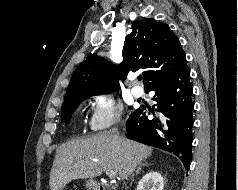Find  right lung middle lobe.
<instances>
[{
    "label": "right lung middle lobe",
    "instance_id": "right-lung-middle-lobe-1",
    "mask_svg": "<svg viewBox=\"0 0 238 190\" xmlns=\"http://www.w3.org/2000/svg\"><path fill=\"white\" fill-rule=\"evenodd\" d=\"M90 96H92V94H80V95H74L69 98H66L62 105V109H61L62 110V113H61L62 122L69 123L71 114L79 106L80 102H82L83 99H86Z\"/></svg>",
    "mask_w": 238,
    "mask_h": 190
}]
</instances>
